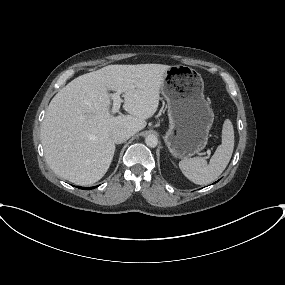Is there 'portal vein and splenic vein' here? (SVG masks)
Instances as JSON below:
<instances>
[{"label":"portal vein and splenic vein","instance_id":"obj_1","mask_svg":"<svg viewBox=\"0 0 285 285\" xmlns=\"http://www.w3.org/2000/svg\"><path fill=\"white\" fill-rule=\"evenodd\" d=\"M121 92L117 91L116 93H113L111 95L112 99H113V106L111 109V114H115L119 111L120 105L123 102V100L120 98ZM207 158L210 156V151H207Z\"/></svg>","mask_w":285,"mask_h":285}]
</instances>
